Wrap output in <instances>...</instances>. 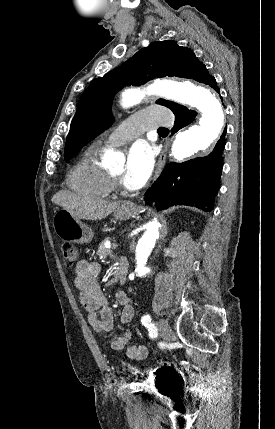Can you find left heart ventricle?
<instances>
[{
	"label": "left heart ventricle",
	"instance_id": "obj_1",
	"mask_svg": "<svg viewBox=\"0 0 275 429\" xmlns=\"http://www.w3.org/2000/svg\"><path fill=\"white\" fill-rule=\"evenodd\" d=\"M124 164H120L117 167H115L114 169L111 170V173L116 176L117 178H119L120 180H122L123 174H124Z\"/></svg>",
	"mask_w": 275,
	"mask_h": 429
}]
</instances>
